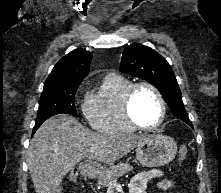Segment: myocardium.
I'll list each match as a JSON object with an SVG mask.
<instances>
[{
  "instance_id": "1",
  "label": "myocardium",
  "mask_w": 221,
  "mask_h": 193,
  "mask_svg": "<svg viewBox=\"0 0 221 193\" xmlns=\"http://www.w3.org/2000/svg\"><path fill=\"white\" fill-rule=\"evenodd\" d=\"M141 87H146V88L152 90L154 92V94L157 96L160 106H161L160 118H159L158 122L152 126L140 125L134 119L133 114H132V109H131L132 99H133V96H134L136 90ZM122 108H123V113H124V116H125L127 122L135 129H138L141 131H155V130L159 129L163 125V123L166 119V115H167V104H166L163 94L155 85H153L152 83L147 82V81L136 82V83L131 84L128 87V89L126 90L124 97H123Z\"/></svg>"
}]
</instances>
